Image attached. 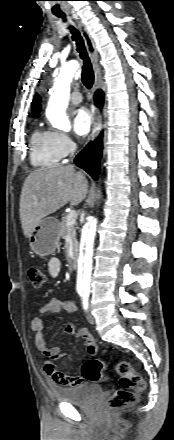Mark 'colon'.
Here are the masks:
<instances>
[{"label": "colon", "instance_id": "5ec220e1", "mask_svg": "<svg viewBox=\"0 0 174 440\" xmlns=\"http://www.w3.org/2000/svg\"><path fill=\"white\" fill-rule=\"evenodd\" d=\"M28 278L34 287H40L44 282L43 271L38 267H30L27 271ZM45 367V364H44ZM116 372L120 379V389L116 390L108 399L109 410H120L135 405L140 393L145 388V382L139 372L127 361L116 363ZM105 364L97 359H87L82 365V379L87 382L107 381Z\"/></svg>", "mask_w": 174, "mask_h": 440}]
</instances>
